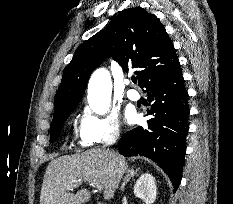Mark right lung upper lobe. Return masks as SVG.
<instances>
[{"label": "right lung upper lobe", "mask_w": 233, "mask_h": 204, "mask_svg": "<svg viewBox=\"0 0 233 204\" xmlns=\"http://www.w3.org/2000/svg\"><path fill=\"white\" fill-rule=\"evenodd\" d=\"M171 39L159 19L143 8L125 9L104 30L86 40L65 67L54 99L53 119L75 109L97 67L113 57L125 72L136 69L145 87L161 71L177 64Z\"/></svg>", "instance_id": "1"}]
</instances>
